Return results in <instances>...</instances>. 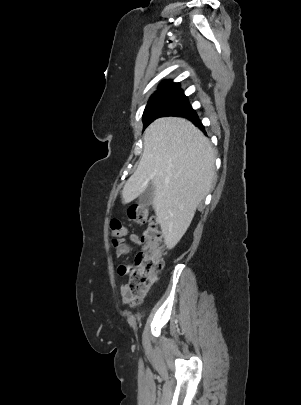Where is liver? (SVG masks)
<instances>
[{"label": "liver", "mask_w": 301, "mask_h": 405, "mask_svg": "<svg viewBox=\"0 0 301 405\" xmlns=\"http://www.w3.org/2000/svg\"><path fill=\"white\" fill-rule=\"evenodd\" d=\"M143 140L141 161L122 190L123 203L133 201L152 183L153 208L165 244L172 249L211 189L215 150L197 127L179 117L155 120Z\"/></svg>", "instance_id": "6515ba94"}]
</instances>
